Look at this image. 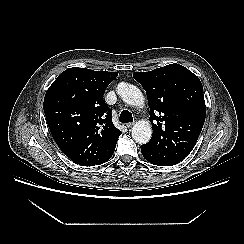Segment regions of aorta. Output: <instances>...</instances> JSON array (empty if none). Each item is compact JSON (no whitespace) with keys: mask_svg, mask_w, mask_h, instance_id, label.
Returning a JSON list of instances; mask_svg holds the SVG:
<instances>
[{"mask_svg":"<svg viewBox=\"0 0 244 244\" xmlns=\"http://www.w3.org/2000/svg\"><path fill=\"white\" fill-rule=\"evenodd\" d=\"M117 93L122 100L131 106L144 105V96L140 89L132 84L121 82L118 84ZM152 136V127L148 121H138L132 128V137L139 144H146Z\"/></svg>","mask_w":244,"mask_h":244,"instance_id":"obj_1","label":"aorta"}]
</instances>
